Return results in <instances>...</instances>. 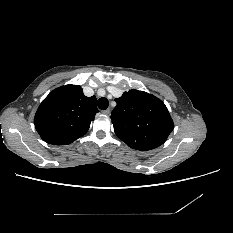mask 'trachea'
Listing matches in <instances>:
<instances>
[{
    "label": "trachea",
    "instance_id": "3493384b",
    "mask_svg": "<svg viewBox=\"0 0 233 233\" xmlns=\"http://www.w3.org/2000/svg\"><path fill=\"white\" fill-rule=\"evenodd\" d=\"M97 105H98L99 109L106 110L109 106V101L107 98L102 97V98L98 99Z\"/></svg>",
    "mask_w": 233,
    "mask_h": 233
}]
</instances>
